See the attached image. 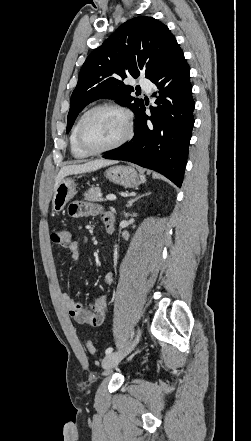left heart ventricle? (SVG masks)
<instances>
[{
	"mask_svg": "<svg viewBox=\"0 0 251 441\" xmlns=\"http://www.w3.org/2000/svg\"><path fill=\"white\" fill-rule=\"evenodd\" d=\"M125 132L124 117L112 109H100L91 113L83 126L84 143L92 149L109 146Z\"/></svg>",
	"mask_w": 251,
	"mask_h": 441,
	"instance_id": "left-heart-ventricle-1",
	"label": "left heart ventricle"
}]
</instances>
